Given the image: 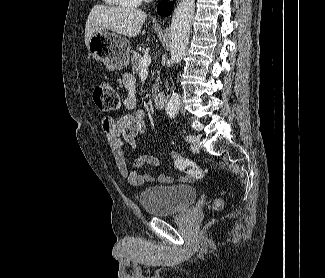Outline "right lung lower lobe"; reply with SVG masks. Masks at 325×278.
I'll return each mask as SVG.
<instances>
[{"label": "right lung lower lobe", "instance_id": "98d812e1", "mask_svg": "<svg viewBox=\"0 0 325 278\" xmlns=\"http://www.w3.org/2000/svg\"><path fill=\"white\" fill-rule=\"evenodd\" d=\"M173 3H168V0H161L157 6L158 13L161 16H168L171 14Z\"/></svg>", "mask_w": 325, "mask_h": 278}]
</instances>
